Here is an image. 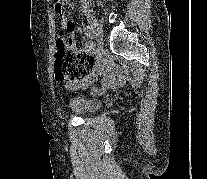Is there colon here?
Returning <instances> with one entry per match:
<instances>
[{
	"mask_svg": "<svg viewBox=\"0 0 207 179\" xmlns=\"http://www.w3.org/2000/svg\"><path fill=\"white\" fill-rule=\"evenodd\" d=\"M55 11L61 17L71 12L69 0H55ZM70 39L61 36L57 39L55 53V75L61 82L77 84L92 72L91 57L82 52H74Z\"/></svg>",
	"mask_w": 207,
	"mask_h": 179,
	"instance_id": "1",
	"label": "colon"
}]
</instances>
